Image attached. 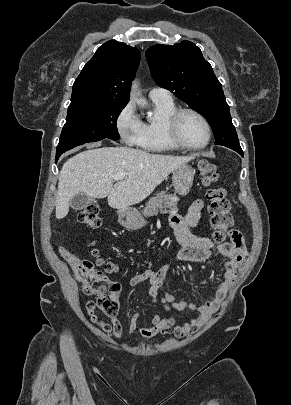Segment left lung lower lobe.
<instances>
[{
    "label": "left lung lower lobe",
    "instance_id": "left-lung-lower-lobe-1",
    "mask_svg": "<svg viewBox=\"0 0 291 405\" xmlns=\"http://www.w3.org/2000/svg\"><path fill=\"white\" fill-rule=\"evenodd\" d=\"M235 151H237L240 155H242L243 156V151H242V149L241 148H237V149H234Z\"/></svg>",
    "mask_w": 291,
    "mask_h": 405
}]
</instances>
